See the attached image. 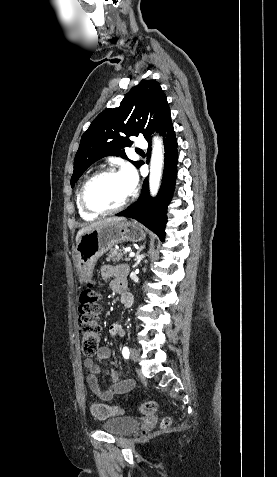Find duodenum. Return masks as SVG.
<instances>
[{
  "instance_id": "410a0bca",
  "label": "duodenum",
  "mask_w": 277,
  "mask_h": 477,
  "mask_svg": "<svg viewBox=\"0 0 277 477\" xmlns=\"http://www.w3.org/2000/svg\"><path fill=\"white\" fill-rule=\"evenodd\" d=\"M121 302L127 306V307H130L133 303V299L132 297L128 294V293H123L121 295Z\"/></svg>"
}]
</instances>
